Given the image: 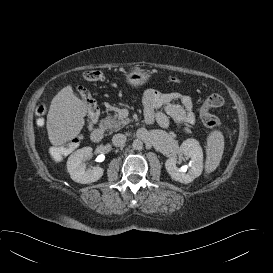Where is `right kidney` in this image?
Listing matches in <instances>:
<instances>
[{"instance_id": "ca27d5eb", "label": "right kidney", "mask_w": 273, "mask_h": 273, "mask_svg": "<svg viewBox=\"0 0 273 273\" xmlns=\"http://www.w3.org/2000/svg\"><path fill=\"white\" fill-rule=\"evenodd\" d=\"M92 155L91 147H83L72 153L67 161V170L73 181L81 184L96 182L103 175V168L86 169L85 161Z\"/></svg>"}]
</instances>
